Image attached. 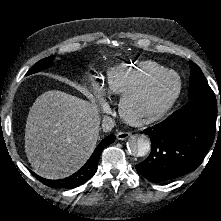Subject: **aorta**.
I'll return each mask as SVG.
<instances>
[{
  "instance_id": "1",
  "label": "aorta",
  "mask_w": 221,
  "mask_h": 221,
  "mask_svg": "<svg viewBox=\"0 0 221 221\" xmlns=\"http://www.w3.org/2000/svg\"><path fill=\"white\" fill-rule=\"evenodd\" d=\"M151 148L150 139L146 135L131 136L127 141L129 153L135 157H143L149 153Z\"/></svg>"
}]
</instances>
